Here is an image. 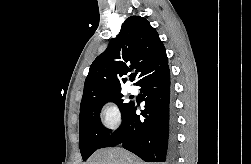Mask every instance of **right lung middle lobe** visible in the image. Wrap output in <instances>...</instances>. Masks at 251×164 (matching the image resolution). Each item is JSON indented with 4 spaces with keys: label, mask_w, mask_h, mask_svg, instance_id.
Segmentation results:
<instances>
[{
    "label": "right lung middle lobe",
    "mask_w": 251,
    "mask_h": 164,
    "mask_svg": "<svg viewBox=\"0 0 251 164\" xmlns=\"http://www.w3.org/2000/svg\"><path fill=\"white\" fill-rule=\"evenodd\" d=\"M122 97L123 95L121 92L109 94L96 99L83 108H80L79 146L83 160H87L91 154L99 149L111 132V130L103 127L100 121V111L103 105L107 102L116 103L124 116L127 109L133 103H123Z\"/></svg>",
    "instance_id": "dd1d6c3e"
}]
</instances>
